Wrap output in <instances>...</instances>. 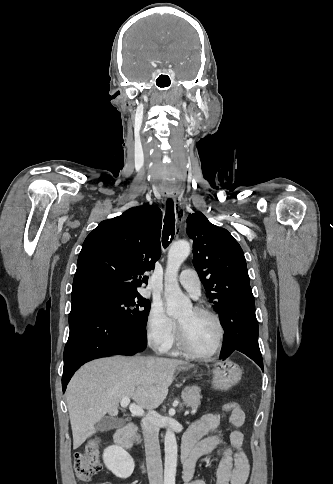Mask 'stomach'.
Segmentation results:
<instances>
[{
    "label": "stomach",
    "mask_w": 333,
    "mask_h": 484,
    "mask_svg": "<svg viewBox=\"0 0 333 484\" xmlns=\"http://www.w3.org/2000/svg\"><path fill=\"white\" fill-rule=\"evenodd\" d=\"M211 374L213 377V388L219 391H227L240 381L242 376V370L238 364L227 359L223 361H218L213 366Z\"/></svg>",
    "instance_id": "0dacf381"
}]
</instances>
